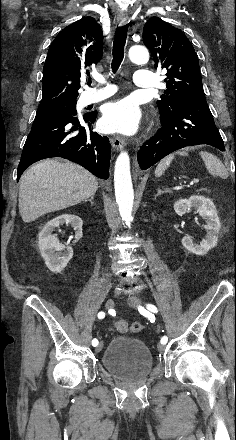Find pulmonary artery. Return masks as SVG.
<instances>
[{"instance_id":"e3ab8cb5","label":"pulmonary artery","mask_w":236,"mask_h":440,"mask_svg":"<svg viewBox=\"0 0 236 440\" xmlns=\"http://www.w3.org/2000/svg\"><path fill=\"white\" fill-rule=\"evenodd\" d=\"M155 75L146 69H138L134 74V83L138 88H151L156 86ZM114 93L111 86H106L100 90H88L83 95L84 104L95 103L101 101Z\"/></svg>"}]
</instances>
